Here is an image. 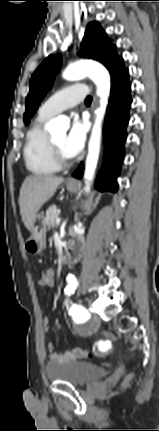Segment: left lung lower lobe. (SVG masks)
<instances>
[{
    "instance_id": "0a47b994",
    "label": "left lung lower lobe",
    "mask_w": 159,
    "mask_h": 431,
    "mask_svg": "<svg viewBox=\"0 0 159 431\" xmlns=\"http://www.w3.org/2000/svg\"><path fill=\"white\" fill-rule=\"evenodd\" d=\"M129 71L121 67L111 76V94L104 125L105 156L104 163L95 187L100 191L116 192L117 177L124 159L123 144L126 140V126L129 121L131 106V83ZM83 164L73 173L75 178H82Z\"/></svg>"
}]
</instances>
